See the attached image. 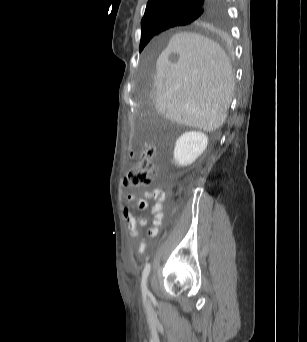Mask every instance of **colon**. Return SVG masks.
<instances>
[{
    "mask_svg": "<svg viewBox=\"0 0 307 342\" xmlns=\"http://www.w3.org/2000/svg\"><path fill=\"white\" fill-rule=\"evenodd\" d=\"M156 146L152 143H145L139 152L137 164L128 172L124 180L127 186H144L153 182L156 175V164L154 157Z\"/></svg>",
    "mask_w": 307,
    "mask_h": 342,
    "instance_id": "colon-1",
    "label": "colon"
}]
</instances>
